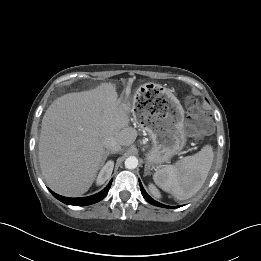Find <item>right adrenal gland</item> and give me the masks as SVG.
Segmentation results:
<instances>
[{
    "mask_svg": "<svg viewBox=\"0 0 261 261\" xmlns=\"http://www.w3.org/2000/svg\"><path fill=\"white\" fill-rule=\"evenodd\" d=\"M110 154H115V152H113V151H108V150L104 152L103 162L106 161V159L108 158V156H109Z\"/></svg>",
    "mask_w": 261,
    "mask_h": 261,
    "instance_id": "obj_1",
    "label": "right adrenal gland"
}]
</instances>
